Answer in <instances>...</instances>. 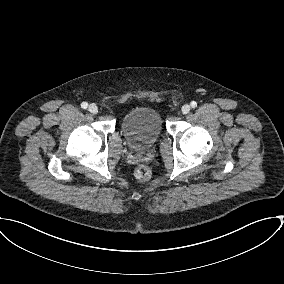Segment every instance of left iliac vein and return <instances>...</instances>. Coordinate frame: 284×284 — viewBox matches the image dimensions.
<instances>
[{
	"mask_svg": "<svg viewBox=\"0 0 284 284\" xmlns=\"http://www.w3.org/2000/svg\"><path fill=\"white\" fill-rule=\"evenodd\" d=\"M190 109H191L190 105L185 104V105L182 106L181 111H182L183 114H187V113H189Z\"/></svg>",
	"mask_w": 284,
	"mask_h": 284,
	"instance_id": "left-iliac-vein-1",
	"label": "left iliac vein"
}]
</instances>
